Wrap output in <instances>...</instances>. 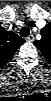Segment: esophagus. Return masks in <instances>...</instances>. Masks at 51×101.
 Wrapping results in <instances>:
<instances>
[{
    "instance_id": "esophagus-1",
    "label": "esophagus",
    "mask_w": 51,
    "mask_h": 101,
    "mask_svg": "<svg viewBox=\"0 0 51 101\" xmlns=\"http://www.w3.org/2000/svg\"><path fill=\"white\" fill-rule=\"evenodd\" d=\"M33 40H34L33 34H30V35L26 38V41H28V42H33Z\"/></svg>"
}]
</instances>
